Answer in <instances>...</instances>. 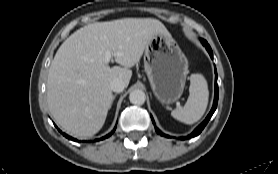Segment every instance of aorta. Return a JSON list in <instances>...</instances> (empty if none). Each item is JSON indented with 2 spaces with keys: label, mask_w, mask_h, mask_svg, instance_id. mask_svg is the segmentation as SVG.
I'll return each mask as SVG.
<instances>
[{
  "label": "aorta",
  "mask_w": 278,
  "mask_h": 174,
  "mask_svg": "<svg viewBox=\"0 0 278 174\" xmlns=\"http://www.w3.org/2000/svg\"><path fill=\"white\" fill-rule=\"evenodd\" d=\"M129 100L134 105H142L146 100V96L142 90L135 89L130 93Z\"/></svg>",
  "instance_id": "aorta-1"
}]
</instances>
